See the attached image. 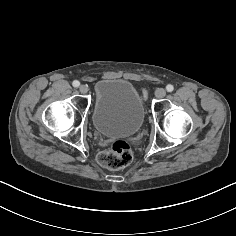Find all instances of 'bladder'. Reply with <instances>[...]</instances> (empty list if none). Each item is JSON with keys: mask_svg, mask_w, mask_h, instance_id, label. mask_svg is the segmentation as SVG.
I'll list each match as a JSON object with an SVG mask.
<instances>
[{"mask_svg": "<svg viewBox=\"0 0 236 236\" xmlns=\"http://www.w3.org/2000/svg\"><path fill=\"white\" fill-rule=\"evenodd\" d=\"M92 120L104 136H133L145 120V105L136 88L121 79H102L94 86Z\"/></svg>", "mask_w": 236, "mask_h": 236, "instance_id": "bladder-1", "label": "bladder"}]
</instances>
